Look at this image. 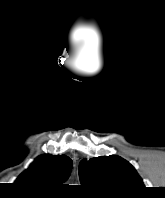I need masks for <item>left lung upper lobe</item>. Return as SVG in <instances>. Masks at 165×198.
I'll return each instance as SVG.
<instances>
[{"label":"left lung upper lobe","mask_w":165,"mask_h":198,"mask_svg":"<svg viewBox=\"0 0 165 198\" xmlns=\"http://www.w3.org/2000/svg\"><path fill=\"white\" fill-rule=\"evenodd\" d=\"M79 173L81 183L104 198H136L145 188L135 168L115 155L83 159Z\"/></svg>","instance_id":"5c2ea615"}]
</instances>
